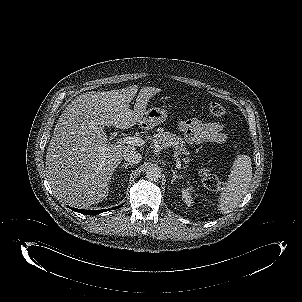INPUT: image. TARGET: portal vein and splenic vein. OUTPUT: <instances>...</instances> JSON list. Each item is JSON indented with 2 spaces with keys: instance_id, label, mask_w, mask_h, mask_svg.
<instances>
[{
  "instance_id": "1",
  "label": "portal vein and splenic vein",
  "mask_w": 302,
  "mask_h": 302,
  "mask_svg": "<svg viewBox=\"0 0 302 302\" xmlns=\"http://www.w3.org/2000/svg\"><path fill=\"white\" fill-rule=\"evenodd\" d=\"M121 142L135 146H142L144 144L143 139L136 136H126L121 139ZM177 166H181L179 161H177Z\"/></svg>"
}]
</instances>
